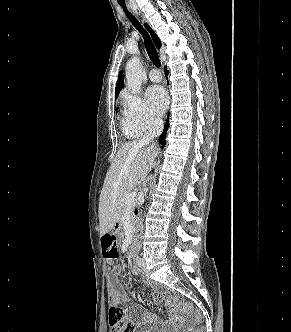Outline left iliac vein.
<instances>
[{
    "label": "left iliac vein",
    "mask_w": 291,
    "mask_h": 332,
    "mask_svg": "<svg viewBox=\"0 0 291 332\" xmlns=\"http://www.w3.org/2000/svg\"><path fill=\"white\" fill-rule=\"evenodd\" d=\"M137 264L141 269H145V267H146V263H145V260L143 258H139L138 261H137Z\"/></svg>",
    "instance_id": "left-iliac-vein-1"
}]
</instances>
